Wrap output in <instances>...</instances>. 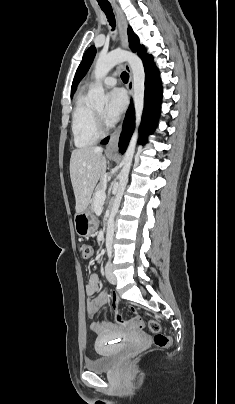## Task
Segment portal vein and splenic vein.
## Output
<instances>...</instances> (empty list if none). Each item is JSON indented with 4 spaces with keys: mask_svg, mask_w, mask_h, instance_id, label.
<instances>
[{
    "mask_svg": "<svg viewBox=\"0 0 235 404\" xmlns=\"http://www.w3.org/2000/svg\"><path fill=\"white\" fill-rule=\"evenodd\" d=\"M105 199H106L105 190L98 191V192L96 193V195H95V201H96V203L102 204V203H104Z\"/></svg>",
    "mask_w": 235,
    "mask_h": 404,
    "instance_id": "1",
    "label": "portal vein and splenic vein"
}]
</instances>
